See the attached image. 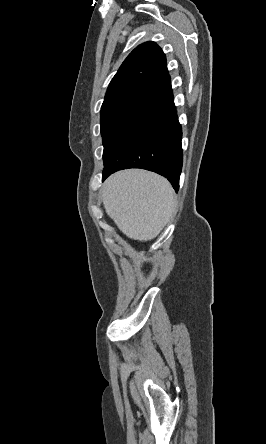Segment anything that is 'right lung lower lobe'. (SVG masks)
I'll list each match as a JSON object with an SVG mask.
<instances>
[{
	"label": "right lung lower lobe",
	"mask_w": 266,
	"mask_h": 444,
	"mask_svg": "<svg viewBox=\"0 0 266 444\" xmlns=\"http://www.w3.org/2000/svg\"><path fill=\"white\" fill-rule=\"evenodd\" d=\"M181 139L171 102L104 162L103 180L121 169L142 168L166 177L177 192L183 163Z\"/></svg>",
	"instance_id": "98d812e1"
}]
</instances>
